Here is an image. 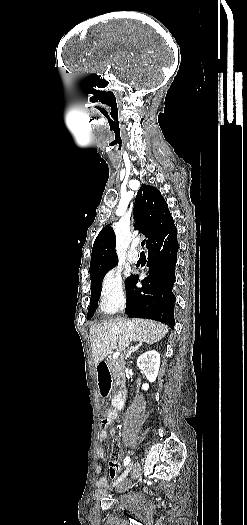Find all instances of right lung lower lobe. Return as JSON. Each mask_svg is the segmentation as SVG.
<instances>
[{
	"label": "right lung lower lobe",
	"instance_id": "obj_1",
	"mask_svg": "<svg viewBox=\"0 0 247 525\" xmlns=\"http://www.w3.org/2000/svg\"><path fill=\"white\" fill-rule=\"evenodd\" d=\"M148 249L149 275L137 288L138 275L126 282V313L129 317L147 318L174 327V303L172 292L177 262V229L173 224L146 243Z\"/></svg>",
	"mask_w": 247,
	"mask_h": 525
}]
</instances>
